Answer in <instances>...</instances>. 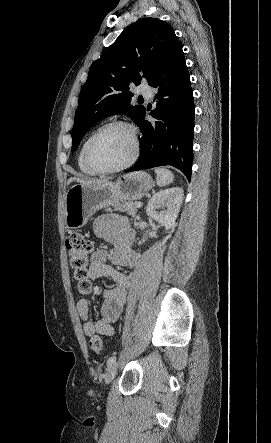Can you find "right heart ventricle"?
Instances as JSON below:
<instances>
[{"instance_id": "right-heart-ventricle-1", "label": "right heart ventricle", "mask_w": 271, "mask_h": 443, "mask_svg": "<svg viewBox=\"0 0 271 443\" xmlns=\"http://www.w3.org/2000/svg\"><path fill=\"white\" fill-rule=\"evenodd\" d=\"M95 131H92L91 133H89L84 140L82 141L78 153H77V158H76V163H77V167L80 170L81 173H83L84 175L87 176H96L98 173H96L95 171H93L92 169H90L83 158V152H84V148L86 145V142L88 141V139L90 138V136L94 133Z\"/></svg>"}]
</instances>
